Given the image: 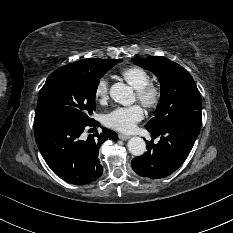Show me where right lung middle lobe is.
<instances>
[{"label": "right lung middle lobe", "mask_w": 233, "mask_h": 233, "mask_svg": "<svg viewBox=\"0 0 233 233\" xmlns=\"http://www.w3.org/2000/svg\"><path fill=\"white\" fill-rule=\"evenodd\" d=\"M121 59H100L90 68L65 65L53 72L38 95L35 118L56 117L90 123L100 78Z\"/></svg>", "instance_id": "dd1d6c3e"}]
</instances>
